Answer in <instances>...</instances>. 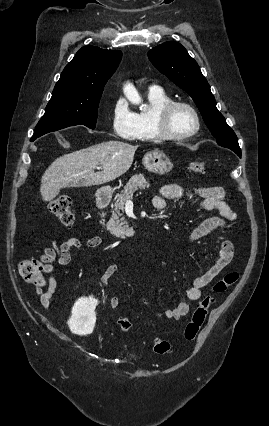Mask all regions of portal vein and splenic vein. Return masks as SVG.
<instances>
[{
    "label": "portal vein and splenic vein",
    "instance_id": "18ae733b",
    "mask_svg": "<svg viewBox=\"0 0 269 426\" xmlns=\"http://www.w3.org/2000/svg\"><path fill=\"white\" fill-rule=\"evenodd\" d=\"M97 169H101V167H99V166H97L96 167ZM126 205H131V204H133V202L129 199V200H126V203H125Z\"/></svg>",
    "mask_w": 269,
    "mask_h": 426
}]
</instances>
